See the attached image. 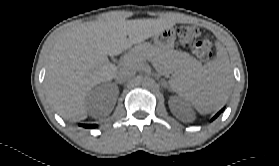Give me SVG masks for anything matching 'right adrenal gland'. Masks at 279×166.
I'll return each instance as SVG.
<instances>
[{"label":"right adrenal gland","mask_w":279,"mask_h":166,"mask_svg":"<svg viewBox=\"0 0 279 166\" xmlns=\"http://www.w3.org/2000/svg\"><path fill=\"white\" fill-rule=\"evenodd\" d=\"M117 83L121 84L122 82H118V81H117Z\"/></svg>","instance_id":"2a0ac1e0"}]
</instances>
